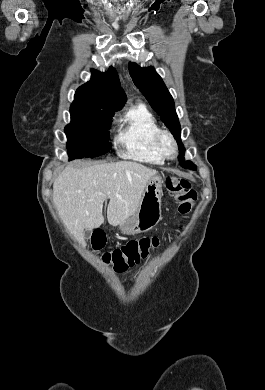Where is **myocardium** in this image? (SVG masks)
I'll list each match as a JSON object with an SVG mask.
<instances>
[{"instance_id": "1", "label": "myocardium", "mask_w": 265, "mask_h": 390, "mask_svg": "<svg viewBox=\"0 0 265 390\" xmlns=\"http://www.w3.org/2000/svg\"><path fill=\"white\" fill-rule=\"evenodd\" d=\"M155 145L163 159H174L178 153V146L173 135L160 129L155 135Z\"/></svg>"}]
</instances>
